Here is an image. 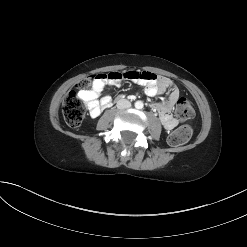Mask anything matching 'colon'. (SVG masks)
Segmentation results:
<instances>
[{
    "mask_svg": "<svg viewBox=\"0 0 247 247\" xmlns=\"http://www.w3.org/2000/svg\"><path fill=\"white\" fill-rule=\"evenodd\" d=\"M103 77L106 76H102L101 74L91 75L79 82L78 88L81 90H89L96 80ZM62 111L66 123L71 128L79 127L86 114L83 101L74 91L69 92L64 98ZM175 115L180 120H188L194 117L195 111L186 98H180L176 104ZM191 135V128L188 125H182L168 136V142L172 146H180L185 144L190 139Z\"/></svg>",
    "mask_w": 247,
    "mask_h": 247,
    "instance_id": "obj_1",
    "label": "colon"
}]
</instances>
